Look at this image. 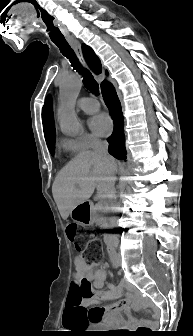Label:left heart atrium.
<instances>
[{
    "mask_svg": "<svg viewBox=\"0 0 193 336\" xmlns=\"http://www.w3.org/2000/svg\"><path fill=\"white\" fill-rule=\"evenodd\" d=\"M89 126L95 134L106 136L112 130V120L107 114L100 113L91 118Z\"/></svg>",
    "mask_w": 193,
    "mask_h": 336,
    "instance_id": "1",
    "label": "left heart atrium"
}]
</instances>
